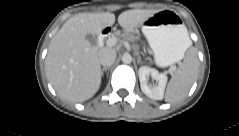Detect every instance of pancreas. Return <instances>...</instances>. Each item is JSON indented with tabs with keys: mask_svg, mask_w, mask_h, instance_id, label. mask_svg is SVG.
Wrapping results in <instances>:
<instances>
[{
	"mask_svg": "<svg viewBox=\"0 0 239 136\" xmlns=\"http://www.w3.org/2000/svg\"><path fill=\"white\" fill-rule=\"evenodd\" d=\"M123 37L128 39L129 41L135 40V36L129 30L125 31V33L123 34Z\"/></svg>",
	"mask_w": 239,
	"mask_h": 136,
	"instance_id": "pancreas-1",
	"label": "pancreas"
}]
</instances>
